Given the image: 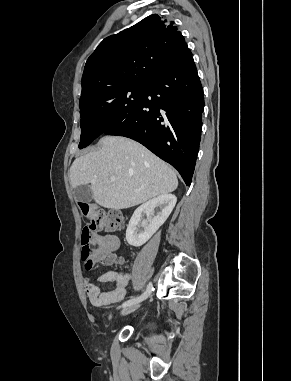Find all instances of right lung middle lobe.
Instances as JSON below:
<instances>
[{
    "instance_id": "right-lung-middle-lobe-1",
    "label": "right lung middle lobe",
    "mask_w": 291,
    "mask_h": 381,
    "mask_svg": "<svg viewBox=\"0 0 291 381\" xmlns=\"http://www.w3.org/2000/svg\"><path fill=\"white\" fill-rule=\"evenodd\" d=\"M146 83H133L103 90L80 103L81 138L79 148L92 143L99 135L120 124L139 107Z\"/></svg>"
}]
</instances>
